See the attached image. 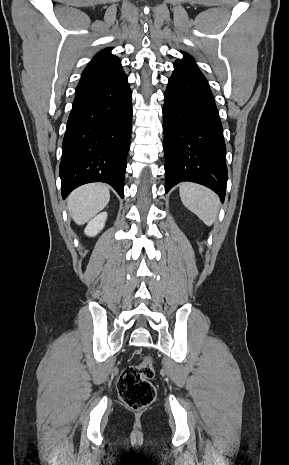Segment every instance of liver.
I'll return each mask as SVG.
<instances>
[{
	"mask_svg": "<svg viewBox=\"0 0 289 465\" xmlns=\"http://www.w3.org/2000/svg\"><path fill=\"white\" fill-rule=\"evenodd\" d=\"M110 200L108 186L87 184L73 191L67 200L68 211L78 225L85 224L103 210Z\"/></svg>",
	"mask_w": 289,
	"mask_h": 465,
	"instance_id": "obj_1",
	"label": "liver"
}]
</instances>
